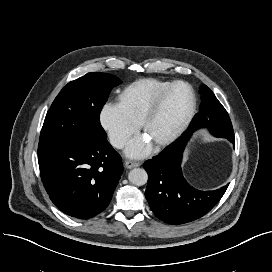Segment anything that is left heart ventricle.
<instances>
[{
  "instance_id": "left-heart-ventricle-1",
  "label": "left heart ventricle",
  "mask_w": 272,
  "mask_h": 272,
  "mask_svg": "<svg viewBox=\"0 0 272 272\" xmlns=\"http://www.w3.org/2000/svg\"><path fill=\"white\" fill-rule=\"evenodd\" d=\"M190 106V95L183 86L176 87L149 121L143 136L156 144L170 135L183 121Z\"/></svg>"
}]
</instances>
